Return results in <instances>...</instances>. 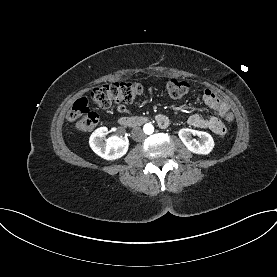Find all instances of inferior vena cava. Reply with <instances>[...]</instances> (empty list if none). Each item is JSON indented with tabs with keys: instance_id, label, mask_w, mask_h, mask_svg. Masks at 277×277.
<instances>
[{
	"instance_id": "obj_1",
	"label": "inferior vena cava",
	"mask_w": 277,
	"mask_h": 277,
	"mask_svg": "<svg viewBox=\"0 0 277 277\" xmlns=\"http://www.w3.org/2000/svg\"><path fill=\"white\" fill-rule=\"evenodd\" d=\"M132 138L135 140V141H137V142H139V141H142L145 137H146V135H145V133L143 132V130L141 129V128H139V127H136V128H134L133 130H132Z\"/></svg>"
}]
</instances>
